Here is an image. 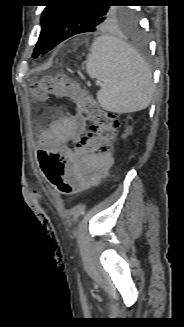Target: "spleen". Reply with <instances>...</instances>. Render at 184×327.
<instances>
[{
	"instance_id": "1",
	"label": "spleen",
	"mask_w": 184,
	"mask_h": 327,
	"mask_svg": "<svg viewBox=\"0 0 184 327\" xmlns=\"http://www.w3.org/2000/svg\"><path fill=\"white\" fill-rule=\"evenodd\" d=\"M86 72L102 83L97 92L107 111L129 113L145 109L152 99V74L144 59L130 45L103 35L92 44Z\"/></svg>"
}]
</instances>
